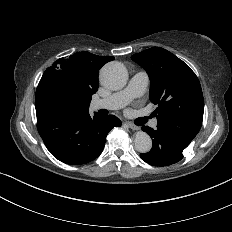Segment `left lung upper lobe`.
Returning <instances> with one entry per match:
<instances>
[{
	"mask_svg": "<svg viewBox=\"0 0 232 232\" xmlns=\"http://www.w3.org/2000/svg\"><path fill=\"white\" fill-rule=\"evenodd\" d=\"M148 73L150 100L158 127L191 142L199 132L204 111L200 82L182 60L171 52L153 47L132 55Z\"/></svg>",
	"mask_w": 232,
	"mask_h": 232,
	"instance_id": "1",
	"label": "left lung upper lobe"
}]
</instances>
